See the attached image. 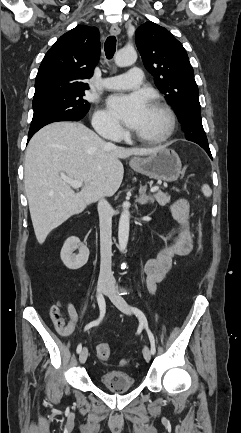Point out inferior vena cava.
Returning a JSON list of instances; mask_svg holds the SVG:
<instances>
[{"label": "inferior vena cava", "mask_w": 241, "mask_h": 433, "mask_svg": "<svg viewBox=\"0 0 241 433\" xmlns=\"http://www.w3.org/2000/svg\"><path fill=\"white\" fill-rule=\"evenodd\" d=\"M100 221V274L99 280L114 281L111 269L112 257V208L105 198H100L97 205Z\"/></svg>", "instance_id": "inferior-vena-cava-1"}]
</instances>
